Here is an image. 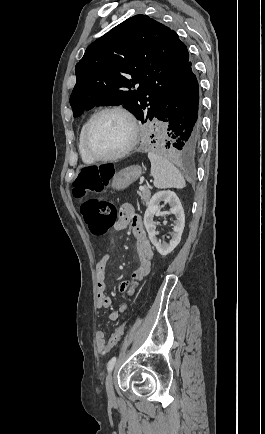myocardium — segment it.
I'll return each instance as SVG.
<instances>
[{
  "label": "myocardium",
  "instance_id": "myocardium-1",
  "mask_svg": "<svg viewBox=\"0 0 265 434\" xmlns=\"http://www.w3.org/2000/svg\"><path fill=\"white\" fill-rule=\"evenodd\" d=\"M109 112H119L122 113L130 122L132 135L128 146L122 151L108 156H103L98 154L91 145V136L93 135L94 126L97 120L104 114ZM139 126L134 114L123 105H109L105 106L98 111H96L88 121L85 135L83 137V149L85 154L95 162H112L120 160L128 156L137 146L139 141Z\"/></svg>",
  "mask_w": 265,
  "mask_h": 434
}]
</instances>
